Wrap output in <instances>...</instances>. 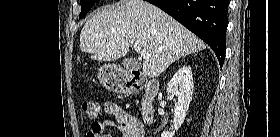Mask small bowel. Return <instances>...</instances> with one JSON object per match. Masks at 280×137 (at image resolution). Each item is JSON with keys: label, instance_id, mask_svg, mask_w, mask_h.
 <instances>
[{"label": "small bowel", "instance_id": "c3829d8e", "mask_svg": "<svg viewBox=\"0 0 280 137\" xmlns=\"http://www.w3.org/2000/svg\"><path fill=\"white\" fill-rule=\"evenodd\" d=\"M105 112L112 115L114 120L92 123L86 137H112L110 133L105 132L107 127H117L122 131L123 137H131L130 125L132 123L139 126L137 136L135 137H143L140 123L127 114L120 105L116 103H108L105 105Z\"/></svg>", "mask_w": 280, "mask_h": 137}]
</instances>
